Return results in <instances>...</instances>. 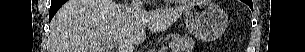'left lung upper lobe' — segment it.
<instances>
[{
    "label": "left lung upper lobe",
    "mask_w": 305,
    "mask_h": 52,
    "mask_svg": "<svg viewBox=\"0 0 305 52\" xmlns=\"http://www.w3.org/2000/svg\"><path fill=\"white\" fill-rule=\"evenodd\" d=\"M247 2H250V4H248V5H249L250 8H253V6H252V0H247Z\"/></svg>",
    "instance_id": "left-lung-upper-lobe-1"
}]
</instances>
